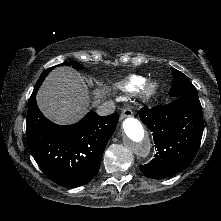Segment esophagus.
Instances as JSON below:
<instances>
[{"mask_svg": "<svg viewBox=\"0 0 221 221\" xmlns=\"http://www.w3.org/2000/svg\"><path fill=\"white\" fill-rule=\"evenodd\" d=\"M133 115V112L130 108L126 107L122 110L120 114V121L123 120L124 118L131 117Z\"/></svg>", "mask_w": 221, "mask_h": 221, "instance_id": "34e87169", "label": "esophagus"}]
</instances>
